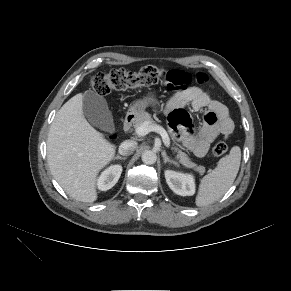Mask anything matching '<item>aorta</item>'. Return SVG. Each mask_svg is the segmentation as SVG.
I'll use <instances>...</instances> for the list:
<instances>
[{
    "label": "aorta",
    "instance_id": "obj_1",
    "mask_svg": "<svg viewBox=\"0 0 291 291\" xmlns=\"http://www.w3.org/2000/svg\"><path fill=\"white\" fill-rule=\"evenodd\" d=\"M157 160V155L153 151H145L142 154V161L147 165L154 164Z\"/></svg>",
    "mask_w": 291,
    "mask_h": 291
}]
</instances>
